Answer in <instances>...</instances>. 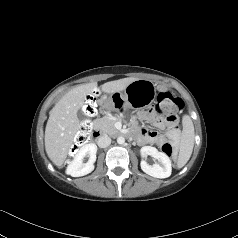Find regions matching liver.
Instances as JSON below:
<instances>
[{
  "label": "liver",
  "instance_id": "6515ba94",
  "mask_svg": "<svg viewBox=\"0 0 238 238\" xmlns=\"http://www.w3.org/2000/svg\"><path fill=\"white\" fill-rule=\"evenodd\" d=\"M135 80L137 78L129 77L106 82L101 90L108 94L120 92ZM96 88L97 82L79 85L67 92L50 111L45 128V150L56 166L64 163L80 128L78 110L84 105L86 96Z\"/></svg>",
  "mask_w": 238,
  "mask_h": 238
}]
</instances>
